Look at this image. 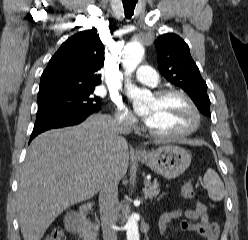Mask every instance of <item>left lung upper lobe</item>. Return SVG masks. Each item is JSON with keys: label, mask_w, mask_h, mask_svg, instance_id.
Instances as JSON below:
<instances>
[{"label": "left lung upper lobe", "mask_w": 248, "mask_h": 240, "mask_svg": "<svg viewBox=\"0 0 248 240\" xmlns=\"http://www.w3.org/2000/svg\"><path fill=\"white\" fill-rule=\"evenodd\" d=\"M155 45L160 73L187 92L202 114L210 116L207 85L191 57L188 45L173 33L161 35Z\"/></svg>", "instance_id": "left-lung-upper-lobe-1"}]
</instances>
